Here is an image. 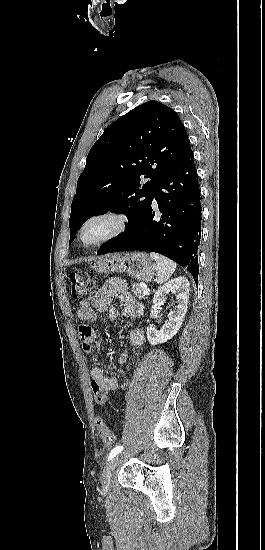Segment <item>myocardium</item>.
I'll use <instances>...</instances> for the list:
<instances>
[{"instance_id":"obj_1","label":"myocardium","mask_w":265,"mask_h":550,"mask_svg":"<svg viewBox=\"0 0 265 550\" xmlns=\"http://www.w3.org/2000/svg\"><path fill=\"white\" fill-rule=\"evenodd\" d=\"M98 221H106L108 223L107 231L98 239L92 242H86L84 240V233L90 226ZM127 227L128 218L124 214L114 210L101 211L89 216L83 221L77 231V241L82 247L86 249L94 248L116 239L122 233H124Z\"/></svg>"}]
</instances>
